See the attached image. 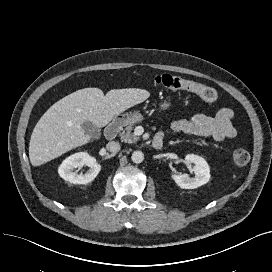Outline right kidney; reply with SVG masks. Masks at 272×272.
<instances>
[{
    "label": "right kidney",
    "instance_id": "obj_1",
    "mask_svg": "<svg viewBox=\"0 0 272 272\" xmlns=\"http://www.w3.org/2000/svg\"><path fill=\"white\" fill-rule=\"evenodd\" d=\"M88 166L84 174L73 172L75 168ZM101 170L100 164L87 152H78L67 157L58 168L60 177L73 184H87L93 181Z\"/></svg>",
    "mask_w": 272,
    "mask_h": 272
}]
</instances>
